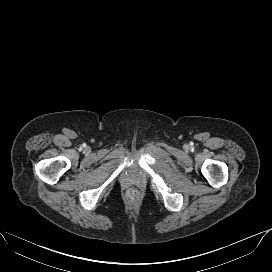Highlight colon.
<instances>
[{"instance_id": "1", "label": "colon", "mask_w": 272, "mask_h": 272, "mask_svg": "<svg viewBox=\"0 0 272 272\" xmlns=\"http://www.w3.org/2000/svg\"><path fill=\"white\" fill-rule=\"evenodd\" d=\"M139 196H140V194H139V192L136 189H130L127 192V198L130 201H136V200H138Z\"/></svg>"}]
</instances>
